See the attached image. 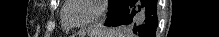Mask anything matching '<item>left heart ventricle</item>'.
I'll return each mask as SVG.
<instances>
[{
    "mask_svg": "<svg viewBox=\"0 0 219 37\" xmlns=\"http://www.w3.org/2000/svg\"><path fill=\"white\" fill-rule=\"evenodd\" d=\"M96 4L93 0H73L66 11V17L74 23H81L90 19L96 12Z\"/></svg>",
    "mask_w": 219,
    "mask_h": 37,
    "instance_id": "1",
    "label": "left heart ventricle"
}]
</instances>
